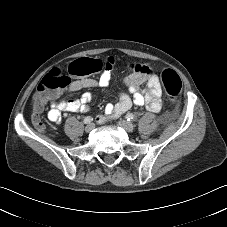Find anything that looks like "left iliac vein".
Returning <instances> with one entry per match:
<instances>
[{
	"label": "left iliac vein",
	"instance_id": "1",
	"mask_svg": "<svg viewBox=\"0 0 227 227\" xmlns=\"http://www.w3.org/2000/svg\"><path fill=\"white\" fill-rule=\"evenodd\" d=\"M117 124L121 128L125 129L127 132H133L135 129V126L131 122H128L125 120H120V121H118Z\"/></svg>",
	"mask_w": 227,
	"mask_h": 227
}]
</instances>
